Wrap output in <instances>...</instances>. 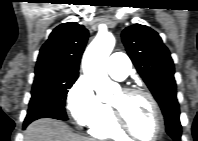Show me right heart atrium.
<instances>
[{
	"label": "right heart atrium",
	"mask_w": 198,
	"mask_h": 141,
	"mask_svg": "<svg viewBox=\"0 0 198 141\" xmlns=\"http://www.w3.org/2000/svg\"><path fill=\"white\" fill-rule=\"evenodd\" d=\"M66 109L71 120L82 127H90L103 115V104L84 77H79L69 89Z\"/></svg>",
	"instance_id": "obj_1"
}]
</instances>
